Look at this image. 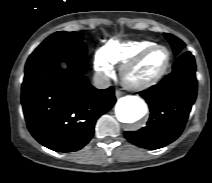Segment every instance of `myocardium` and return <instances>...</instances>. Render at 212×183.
<instances>
[{"instance_id": "obj_1", "label": "myocardium", "mask_w": 212, "mask_h": 183, "mask_svg": "<svg viewBox=\"0 0 212 183\" xmlns=\"http://www.w3.org/2000/svg\"><path fill=\"white\" fill-rule=\"evenodd\" d=\"M157 48H164L168 54L167 62L165 64V66L163 67V69L160 72H158L155 76H153L152 78H150L144 82H141V83L130 82L128 80L129 72L132 69H134L150 52H152L153 50H155ZM171 63H172L171 49L165 44L156 43L154 45H151V46L143 49L135 57H133L131 60L127 61L126 63H124L121 66V69H120L121 81L127 89H130L133 91L147 90V89L153 87L154 85H156L165 76V74L168 72V70L171 66Z\"/></svg>"}]
</instances>
